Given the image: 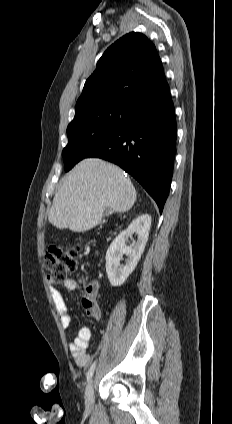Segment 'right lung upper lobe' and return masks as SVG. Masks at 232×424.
<instances>
[{
	"instance_id": "cb5924a9",
	"label": "right lung upper lobe",
	"mask_w": 232,
	"mask_h": 424,
	"mask_svg": "<svg viewBox=\"0 0 232 424\" xmlns=\"http://www.w3.org/2000/svg\"><path fill=\"white\" fill-rule=\"evenodd\" d=\"M166 77L154 44L141 33H129L112 44L86 80L75 114L98 105L126 104L157 90Z\"/></svg>"
}]
</instances>
